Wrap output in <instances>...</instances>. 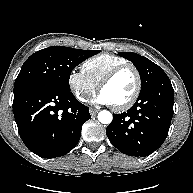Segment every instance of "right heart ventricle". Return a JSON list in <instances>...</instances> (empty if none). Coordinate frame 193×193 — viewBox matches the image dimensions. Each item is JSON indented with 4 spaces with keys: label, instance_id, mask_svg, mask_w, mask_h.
<instances>
[{
    "label": "right heart ventricle",
    "instance_id": "obj_1",
    "mask_svg": "<svg viewBox=\"0 0 193 193\" xmlns=\"http://www.w3.org/2000/svg\"><path fill=\"white\" fill-rule=\"evenodd\" d=\"M129 63L125 58L103 53L86 59L82 63L83 73L93 82L98 85L100 80L113 68Z\"/></svg>",
    "mask_w": 193,
    "mask_h": 193
}]
</instances>
